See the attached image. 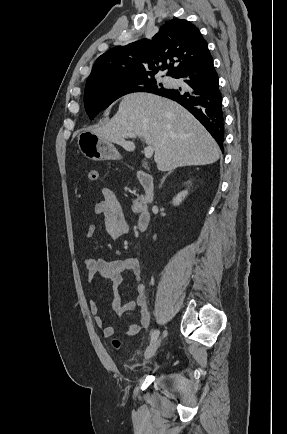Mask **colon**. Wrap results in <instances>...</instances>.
<instances>
[{
  "mask_svg": "<svg viewBox=\"0 0 287 434\" xmlns=\"http://www.w3.org/2000/svg\"><path fill=\"white\" fill-rule=\"evenodd\" d=\"M87 177L90 181H97L100 178V170L98 168H91L87 170ZM113 346L115 348L120 347V342L118 340H113Z\"/></svg>",
  "mask_w": 287,
  "mask_h": 434,
  "instance_id": "1",
  "label": "colon"
}]
</instances>
